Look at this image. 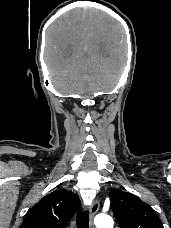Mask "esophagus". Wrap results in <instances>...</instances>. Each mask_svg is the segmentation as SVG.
<instances>
[{"instance_id":"1","label":"esophagus","mask_w":171,"mask_h":228,"mask_svg":"<svg viewBox=\"0 0 171 228\" xmlns=\"http://www.w3.org/2000/svg\"><path fill=\"white\" fill-rule=\"evenodd\" d=\"M99 207H100L99 201L98 200H94L92 205L89 208V212H90V217H89L90 228H95L94 224H93V220H94V217H95L96 213L99 210Z\"/></svg>"}]
</instances>
